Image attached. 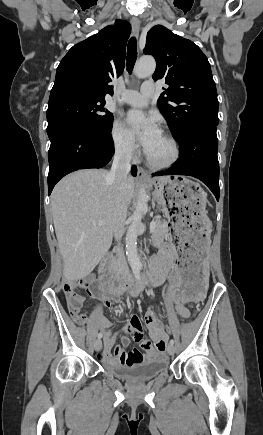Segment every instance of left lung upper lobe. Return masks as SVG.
I'll list each match as a JSON object with an SVG mask.
<instances>
[{"label": "left lung upper lobe", "mask_w": 263, "mask_h": 435, "mask_svg": "<svg viewBox=\"0 0 263 435\" xmlns=\"http://www.w3.org/2000/svg\"><path fill=\"white\" fill-rule=\"evenodd\" d=\"M143 52L156 59L153 79H163L169 86L157 103L174 137L179 139L195 128H216L219 123L216 85L201 49L156 25L147 33Z\"/></svg>", "instance_id": "left-lung-upper-lobe-1"}]
</instances>
